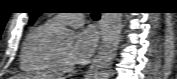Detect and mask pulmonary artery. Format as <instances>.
Wrapping results in <instances>:
<instances>
[{"label":"pulmonary artery","mask_w":177,"mask_h":79,"mask_svg":"<svg viewBox=\"0 0 177 79\" xmlns=\"http://www.w3.org/2000/svg\"><path fill=\"white\" fill-rule=\"evenodd\" d=\"M85 21L84 14H59L48 20L47 22L54 27H57L61 23L74 24L83 23Z\"/></svg>","instance_id":"obj_1"}]
</instances>
